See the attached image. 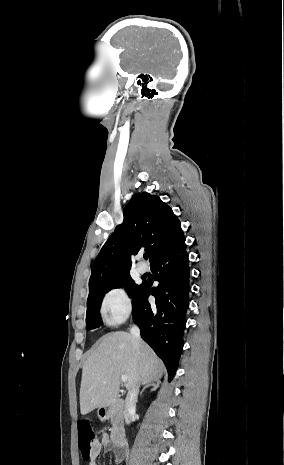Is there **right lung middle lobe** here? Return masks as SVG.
<instances>
[{"instance_id": "right-lung-middle-lobe-1", "label": "right lung middle lobe", "mask_w": 284, "mask_h": 465, "mask_svg": "<svg viewBox=\"0 0 284 465\" xmlns=\"http://www.w3.org/2000/svg\"><path fill=\"white\" fill-rule=\"evenodd\" d=\"M121 287H124L129 296L133 298V296L140 289L141 285L135 284L134 280L130 276H127L89 293L86 312V328L88 330L97 328L102 325L100 306L105 293L111 289Z\"/></svg>"}]
</instances>
